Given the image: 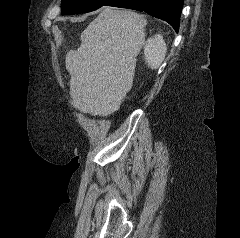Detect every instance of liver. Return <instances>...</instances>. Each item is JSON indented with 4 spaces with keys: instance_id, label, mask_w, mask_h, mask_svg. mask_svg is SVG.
Listing matches in <instances>:
<instances>
[{
    "instance_id": "1",
    "label": "liver",
    "mask_w": 240,
    "mask_h": 238,
    "mask_svg": "<svg viewBox=\"0 0 240 238\" xmlns=\"http://www.w3.org/2000/svg\"><path fill=\"white\" fill-rule=\"evenodd\" d=\"M143 15L105 6L66 55L70 96L82 113L108 116L131 90L136 56L145 43Z\"/></svg>"
}]
</instances>
